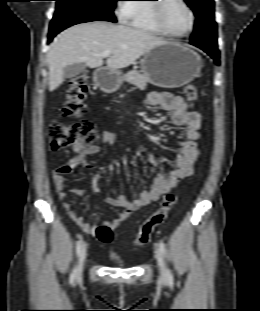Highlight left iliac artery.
I'll list each match as a JSON object with an SVG mask.
<instances>
[{
  "label": "left iliac artery",
  "mask_w": 260,
  "mask_h": 311,
  "mask_svg": "<svg viewBox=\"0 0 260 311\" xmlns=\"http://www.w3.org/2000/svg\"><path fill=\"white\" fill-rule=\"evenodd\" d=\"M159 247H160L162 254L166 255V247L162 241L159 243ZM167 276H168L169 281L172 282L173 281V274H172L170 269H167Z\"/></svg>",
  "instance_id": "44dca946"
}]
</instances>
